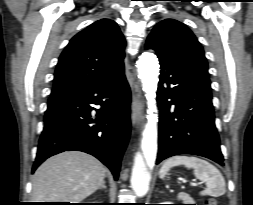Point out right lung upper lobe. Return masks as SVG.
<instances>
[{"instance_id": "obj_1", "label": "right lung upper lobe", "mask_w": 253, "mask_h": 205, "mask_svg": "<svg viewBox=\"0 0 253 205\" xmlns=\"http://www.w3.org/2000/svg\"><path fill=\"white\" fill-rule=\"evenodd\" d=\"M125 39L101 19L75 35L60 55L51 95L98 84L124 71Z\"/></svg>"}]
</instances>
